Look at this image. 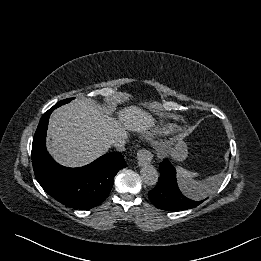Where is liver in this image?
<instances>
[{"mask_svg":"<svg viewBox=\"0 0 261 261\" xmlns=\"http://www.w3.org/2000/svg\"><path fill=\"white\" fill-rule=\"evenodd\" d=\"M154 125L153 116L136 105L119 111L115 119L105 115L94 100L81 98L51 115L48 150L61 165L80 167L105 154L115 139Z\"/></svg>","mask_w":261,"mask_h":261,"instance_id":"1","label":"liver"}]
</instances>
